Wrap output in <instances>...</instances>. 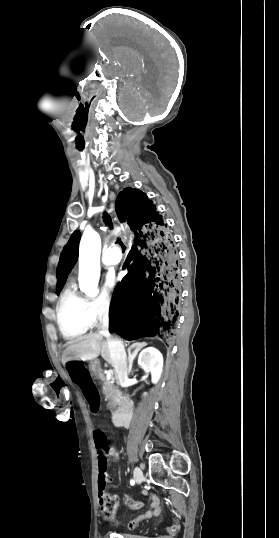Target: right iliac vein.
Instances as JSON below:
<instances>
[{
  "label": "right iliac vein",
  "instance_id": "63e3f726",
  "mask_svg": "<svg viewBox=\"0 0 279 538\" xmlns=\"http://www.w3.org/2000/svg\"><path fill=\"white\" fill-rule=\"evenodd\" d=\"M134 479H135L137 484H140L143 481V473H142L141 469L138 468V467H136L134 469Z\"/></svg>",
  "mask_w": 279,
  "mask_h": 538
}]
</instances>
